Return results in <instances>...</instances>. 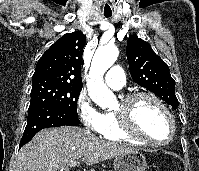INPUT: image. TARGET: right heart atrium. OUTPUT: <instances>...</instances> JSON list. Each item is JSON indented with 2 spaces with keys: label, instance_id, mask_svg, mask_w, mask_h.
Listing matches in <instances>:
<instances>
[{
  "label": "right heart atrium",
  "instance_id": "right-heart-atrium-1",
  "mask_svg": "<svg viewBox=\"0 0 199 171\" xmlns=\"http://www.w3.org/2000/svg\"><path fill=\"white\" fill-rule=\"evenodd\" d=\"M76 111L82 124L90 131L100 133L104 117L91 101L88 94L81 91L76 99Z\"/></svg>",
  "mask_w": 199,
  "mask_h": 171
}]
</instances>
